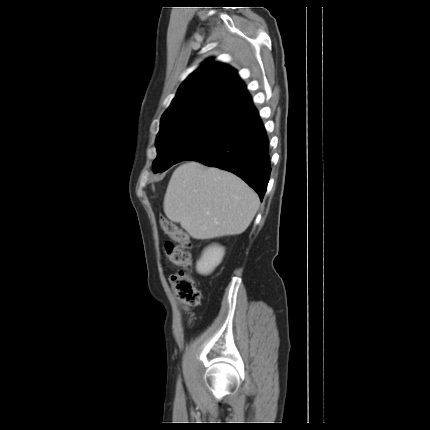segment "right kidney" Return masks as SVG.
Segmentation results:
<instances>
[{"label": "right kidney", "mask_w": 430, "mask_h": 430, "mask_svg": "<svg viewBox=\"0 0 430 430\" xmlns=\"http://www.w3.org/2000/svg\"><path fill=\"white\" fill-rule=\"evenodd\" d=\"M224 256V248L212 245L206 248L201 259L197 262V271L202 275H208L221 263Z\"/></svg>", "instance_id": "ca27d5eb"}]
</instances>
